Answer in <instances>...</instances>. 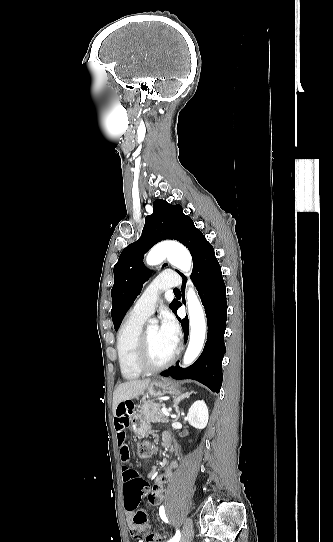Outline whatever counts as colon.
I'll return each instance as SVG.
<instances>
[{
  "instance_id": "colon-1",
  "label": "colon",
  "mask_w": 333,
  "mask_h": 542,
  "mask_svg": "<svg viewBox=\"0 0 333 542\" xmlns=\"http://www.w3.org/2000/svg\"><path fill=\"white\" fill-rule=\"evenodd\" d=\"M154 445L150 441H143L139 444L138 454L142 459H149L154 453ZM123 477L129 483H124L123 490V499L125 500L123 507L125 511L132 510L135 517H127L128 523H134L136 526L145 525L149 520L146 518V512L144 510H139V503L144 499L146 483L143 479L140 478V473L135 471L134 467L124 466L123 467ZM150 538L157 540L159 536L157 533L152 532Z\"/></svg>"
}]
</instances>
